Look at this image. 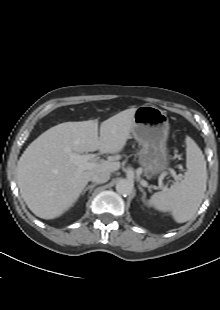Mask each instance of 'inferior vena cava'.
<instances>
[{
  "label": "inferior vena cava",
  "instance_id": "obj_1",
  "mask_svg": "<svg viewBox=\"0 0 220 310\" xmlns=\"http://www.w3.org/2000/svg\"><path fill=\"white\" fill-rule=\"evenodd\" d=\"M110 179V173L103 171V172H98V173H94L91 177H90V181L94 182V183H105Z\"/></svg>",
  "mask_w": 220,
  "mask_h": 310
}]
</instances>
